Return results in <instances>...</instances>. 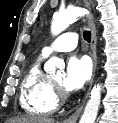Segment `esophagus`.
Returning <instances> with one entry per match:
<instances>
[{
  "mask_svg": "<svg viewBox=\"0 0 118 123\" xmlns=\"http://www.w3.org/2000/svg\"><path fill=\"white\" fill-rule=\"evenodd\" d=\"M85 4L86 6L90 9V3L88 1H85ZM88 22H89V25L91 27V33H92V38H91V51H92V59H93V76H92V80L90 82V87L88 89V92L83 100V103L80 105V107L72 114L70 115L67 119H65L63 122L64 123H76L80 114H81V111L83 109V106H84V103L89 95V92H90V89H91V86H92V83H93V79H94V76H95V71H96V67H97V47H96V44H97V38H96V28H95V24L93 23L92 21V18L91 16H88Z\"/></svg>",
  "mask_w": 118,
  "mask_h": 123,
  "instance_id": "esophagus-1",
  "label": "esophagus"
}]
</instances>
